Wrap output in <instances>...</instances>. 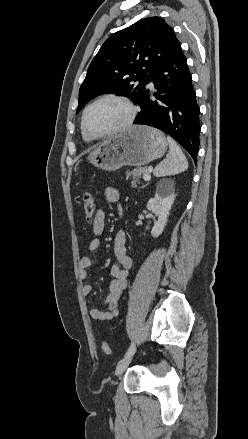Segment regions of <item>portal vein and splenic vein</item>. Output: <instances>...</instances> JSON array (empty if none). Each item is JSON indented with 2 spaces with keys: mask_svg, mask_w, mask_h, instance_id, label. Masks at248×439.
<instances>
[{
  "mask_svg": "<svg viewBox=\"0 0 248 439\" xmlns=\"http://www.w3.org/2000/svg\"><path fill=\"white\" fill-rule=\"evenodd\" d=\"M144 180H146V181H149L150 180V178H151V175H150V172H146L145 174H144Z\"/></svg>",
  "mask_w": 248,
  "mask_h": 439,
  "instance_id": "1",
  "label": "portal vein and splenic vein"
}]
</instances>
